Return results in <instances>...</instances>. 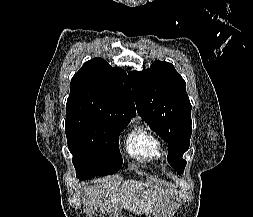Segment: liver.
Here are the masks:
<instances>
[{
	"label": "liver",
	"mask_w": 253,
	"mask_h": 217,
	"mask_svg": "<svg viewBox=\"0 0 253 217\" xmlns=\"http://www.w3.org/2000/svg\"><path fill=\"white\" fill-rule=\"evenodd\" d=\"M169 194V190H164L158 184L135 180L121 183L118 177L113 176L98 180L94 185L87 187L85 204H90L96 210L100 209L102 214L108 213L109 217H112V213H115L113 217H118L120 209L138 215L148 214L163 210L169 203Z\"/></svg>",
	"instance_id": "liver-1"
}]
</instances>
